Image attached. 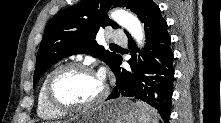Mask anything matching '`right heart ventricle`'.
Masks as SVG:
<instances>
[{"label": "right heart ventricle", "mask_w": 221, "mask_h": 123, "mask_svg": "<svg viewBox=\"0 0 221 123\" xmlns=\"http://www.w3.org/2000/svg\"><path fill=\"white\" fill-rule=\"evenodd\" d=\"M48 75L44 79L39 89L37 112H38V115L43 119H47V120L59 119L63 117L65 113L53 108L46 99L45 84H46Z\"/></svg>", "instance_id": "e07e8e85"}]
</instances>
